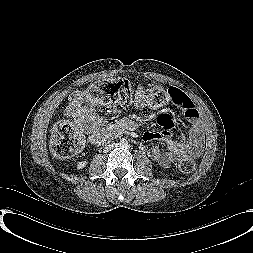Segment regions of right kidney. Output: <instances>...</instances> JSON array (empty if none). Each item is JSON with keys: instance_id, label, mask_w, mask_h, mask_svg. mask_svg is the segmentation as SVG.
I'll use <instances>...</instances> for the list:
<instances>
[{"instance_id": "ca27d5eb", "label": "right kidney", "mask_w": 253, "mask_h": 253, "mask_svg": "<svg viewBox=\"0 0 253 253\" xmlns=\"http://www.w3.org/2000/svg\"><path fill=\"white\" fill-rule=\"evenodd\" d=\"M87 164H88V162L86 160L80 161L77 163V169L78 170L83 169L84 167H86Z\"/></svg>"}]
</instances>
